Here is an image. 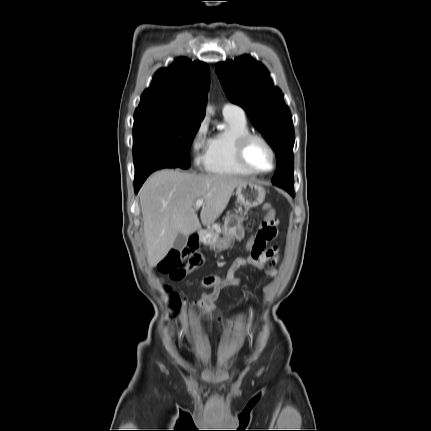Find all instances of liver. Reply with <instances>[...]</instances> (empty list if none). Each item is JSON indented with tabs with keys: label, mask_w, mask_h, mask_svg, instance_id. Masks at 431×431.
<instances>
[{
	"label": "liver",
	"mask_w": 431,
	"mask_h": 431,
	"mask_svg": "<svg viewBox=\"0 0 431 431\" xmlns=\"http://www.w3.org/2000/svg\"><path fill=\"white\" fill-rule=\"evenodd\" d=\"M245 182L224 174L168 169L153 173L139 192L149 265L154 267L165 258L179 233L188 236L200 229L194 209L198 199L203 200L201 222L209 226L225 210L234 189Z\"/></svg>",
	"instance_id": "liver-1"
}]
</instances>
